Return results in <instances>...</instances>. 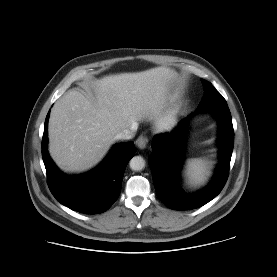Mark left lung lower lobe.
I'll return each mask as SVG.
<instances>
[{
  "instance_id": "obj_1",
  "label": "left lung lower lobe",
  "mask_w": 277,
  "mask_h": 277,
  "mask_svg": "<svg viewBox=\"0 0 277 277\" xmlns=\"http://www.w3.org/2000/svg\"><path fill=\"white\" fill-rule=\"evenodd\" d=\"M211 111L217 118L219 131V163L210 184L195 194H186L179 187V175L182 167V133L187 120L171 133L155 135L152 142L153 152L148 162L158 198L174 210H191L201 207L214 199L223 189L228 173L234 146V130L231 113L226 102H217L201 109ZM191 114L190 116H192Z\"/></svg>"
}]
</instances>
